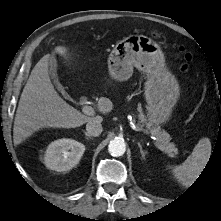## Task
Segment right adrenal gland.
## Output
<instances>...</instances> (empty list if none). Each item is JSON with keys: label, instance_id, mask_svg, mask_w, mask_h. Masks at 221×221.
I'll use <instances>...</instances> for the list:
<instances>
[{"label": "right adrenal gland", "instance_id": "2a0ac1e0", "mask_svg": "<svg viewBox=\"0 0 221 221\" xmlns=\"http://www.w3.org/2000/svg\"><path fill=\"white\" fill-rule=\"evenodd\" d=\"M84 134L87 138H91V136L87 132L84 131Z\"/></svg>", "mask_w": 221, "mask_h": 221}]
</instances>
